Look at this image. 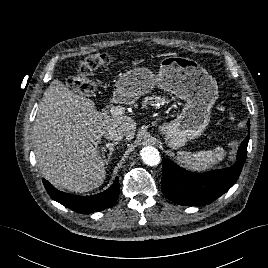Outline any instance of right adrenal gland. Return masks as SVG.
I'll return each mask as SVG.
<instances>
[{"instance_id":"2a0ac1e0","label":"right adrenal gland","mask_w":268,"mask_h":268,"mask_svg":"<svg viewBox=\"0 0 268 268\" xmlns=\"http://www.w3.org/2000/svg\"><path fill=\"white\" fill-rule=\"evenodd\" d=\"M118 144V142H113V143H106L105 146L101 147V153H102V157L104 159L105 165H108V163L110 162L111 159V155L114 151V147ZM109 150V153L107 154V158L105 155V152Z\"/></svg>"}]
</instances>
